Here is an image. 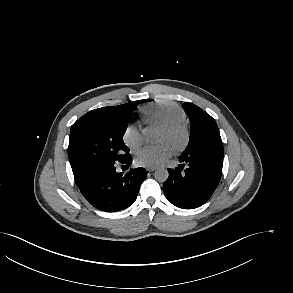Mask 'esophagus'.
I'll use <instances>...</instances> for the list:
<instances>
[{"instance_id": "34e87169", "label": "esophagus", "mask_w": 293, "mask_h": 293, "mask_svg": "<svg viewBox=\"0 0 293 293\" xmlns=\"http://www.w3.org/2000/svg\"><path fill=\"white\" fill-rule=\"evenodd\" d=\"M146 170H147L148 172H153V171L156 170V168H155V167H147Z\"/></svg>"}]
</instances>
